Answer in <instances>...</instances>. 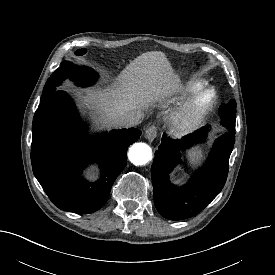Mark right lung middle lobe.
I'll return each instance as SVG.
<instances>
[{
  "mask_svg": "<svg viewBox=\"0 0 275 275\" xmlns=\"http://www.w3.org/2000/svg\"><path fill=\"white\" fill-rule=\"evenodd\" d=\"M66 78L76 81L80 86H87L96 80L97 75L86 67H74L72 63L64 60L46 82L40 104L51 97L56 92L55 87L61 85Z\"/></svg>",
  "mask_w": 275,
  "mask_h": 275,
  "instance_id": "obj_1",
  "label": "right lung middle lobe"
}]
</instances>
